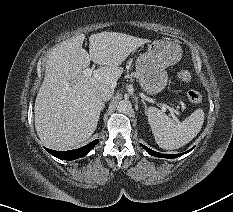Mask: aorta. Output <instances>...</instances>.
Wrapping results in <instances>:
<instances>
[{
	"label": "aorta",
	"instance_id": "aorta-1",
	"mask_svg": "<svg viewBox=\"0 0 233 212\" xmlns=\"http://www.w3.org/2000/svg\"><path fill=\"white\" fill-rule=\"evenodd\" d=\"M132 109V104L129 100H121L117 105V110L120 113H128Z\"/></svg>",
	"mask_w": 233,
	"mask_h": 212
}]
</instances>
